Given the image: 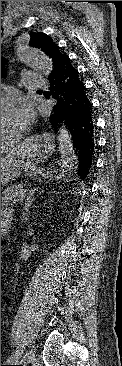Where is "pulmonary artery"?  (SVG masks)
Masks as SVG:
<instances>
[{"mask_svg": "<svg viewBox=\"0 0 122 366\" xmlns=\"http://www.w3.org/2000/svg\"><path fill=\"white\" fill-rule=\"evenodd\" d=\"M22 78L26 81L30 88H43L46 86V81L36 72L26 71L22 73Z\"/></svg>", "mask_w": 122, "mask_h": 366, "instance_id": "1", "label": "pulmonary artery"}]
</instances>
